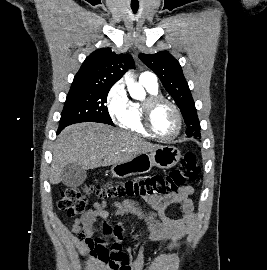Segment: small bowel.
<instances>
[{
	"instance_id": "obj_1",
	"label": "small bowel",
	"mask_w": 267,
	"mask_h": 270,
	"mask_svg": "<svg viewBox=\"0 0 267 270\" xmlns=\"http://www.w3.org/2000/svg\"><path fill=\"white\" fill-rule=\"evenodd\" d=\"M192 193L193 189L188 186L178 192L166 196H151L149 201L155 209V212L147 211L139 206L126 202H114L112 206L114 207L117 216L122 218H128L131 215L138 216L146 222L148 231L136 256L129 259L120 243V239L124 234V228L122 226L111 227L109 225H104L102 227L103 243L112 241L108 253L109 260L105 262V265L110 269V258H117L119 255H125L128 264L127 270H146L144 251L147 244L160 241L177 242L190 230L195 217L194 205L191 199ZM174 205L180 208L183 217L174 218L169 215L168 209ZM107 217L108 212L106 211V202H96L93 204L92 209L74 220L72 231L75 233L93 234L95 231V222L97 220H105ZM127 252L132 253V248L130 246L127 247ZM165 265H169L168 257H157L151 262V267L154 269H159Z\"/></svg>"
}]
</instances>
